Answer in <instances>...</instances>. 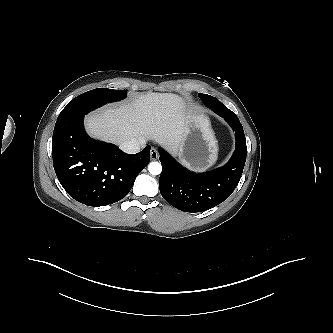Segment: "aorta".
<instances>
[{"instance_id":"762f6f07","label":"aorta","mask_w":333,"mask_h":333,"mask_svg":"<svg viewBox=\"0 0 333 333\" xmlns=\"http://www.w3.org/2000/svg\"><path fill=\"white\" fill-rule=\"evenodd\" d=\"M148 171L152 175H159L162 171V166L159 162H151L148 165Z\"/></svg>"}]
</instances>
